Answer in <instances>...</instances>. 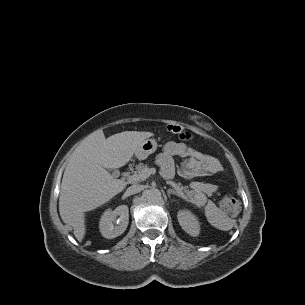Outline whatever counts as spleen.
Instances as JSON below:
<instances>
[{
    "label": "spleen",
    "instance_id": "1",
    "mask_svg": "<svg viewBox=\"0 0 305 305\" xmlns=\"http://www.w3.org/2000/svg\"><path fill=\"white\" fill-rule=\"evenodd\" d=\"M215 212H219V211L216 210ZM219 227H220L221 229H225V225H224V224H220Z\"/></svg>",
    "mask_w": 305,
    "mask_h": 305
}]
</instances>
